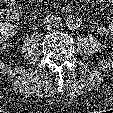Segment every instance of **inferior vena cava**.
Returning <instances> with one entry per match:
<instances>
[{
	"label": "inferior vena cava",
	"instance_id": "obj_1",
	"mask_svg": "<svg viewBox=\"0 0 113 113\" xmlns=\"http://www.w3.org/2000/svg\"><path fill=\"white\" fill-rule=\"evenodd\" d=\"M61 23L62 21L59 16L48 15L43 21V27L47 30H55L60 27Z\"/></svg>",
	"mask_w": 113,
	"mask_h": 113
}]
</instances>
